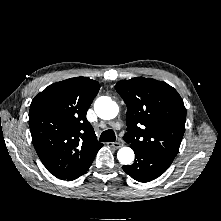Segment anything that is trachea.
I'll use <instances>...</instances> for the list:
<instances>
[{
  "mask_svg": "<svg viewBox=\"0 0 221 221\" xmlns=\"http://www.w3.org/2000/svg\"><path fill=\"white\" fill-rule=\"evenodd\" d=\"M99 140L101 142H115L116 136H115L114 131L112 129H108V130L102 132Z\"/></svg>",
  "mask_w": 221,
  "mask_h": 221,
  "instance_id": "3493384b",
  "label": "trachea"
}]
</instances>
